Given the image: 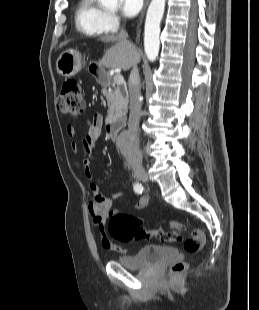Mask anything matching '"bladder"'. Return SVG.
I'll list each match as a JSON object with an SVG mask.
<instances>
[{"mask_svg":"<svg viewBox=\"0 0 259 310\" xmlns=\"http://www.w3.org/2000/svg\"><path fill=\"white\" fill-rule=\"evenodd\" d=\"M177 251L170 246L146 245L131 255H123L117 261L127 269L149 268L175 257Z\"/></svg>","mask_w":259,"mask_h":310,"instance_id":"obj_1","label":"bladder"}]
</instances>
